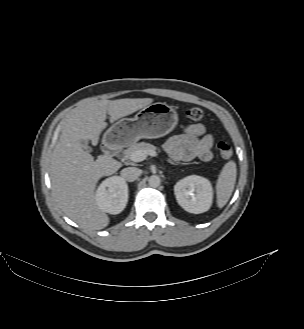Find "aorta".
<instances>
[{"label": "aorta", "mask_w": 304, "mask_h": 329, "mask_svg": "<svg viewBox=\"0 0 304 329\" xmlns=\"http://www.w3.org/2000/svg\"><path fill=\"white\" fill-rule=\"evenodd\" d=\"M160 182H161L160 177L157 175H152L148 179L149 186L153 188L158 187L160 185Z\"/></svg>", "instance_id": "1"}]
</instances>
